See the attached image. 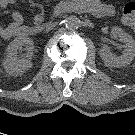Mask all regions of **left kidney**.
Returning a JSON list of instances; mask_svg holds the SVG:
<instances>
[{
  "mask_svg": "<svg viewBox=\"0 0 135 135\" xmlns=\"http://www.w3.org/2000/svg\"><path fill=\"white\" fill-rule=\"evenodd\" d=\"M111 33L118 36L124 43L122 55L116 56L107 47L99 50V55L107 66L122 67L129 65L135 57V40L119 27H113Z\"/></svg>",
  "mask_w": 135,
  "mask_h": 135,
  "instance_id": "obj_1",
  "label": "left kidney"
}]
</instances>
